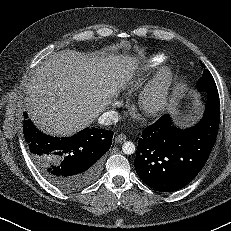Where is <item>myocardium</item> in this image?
Returning a JSON list of instances; mask_svg holds the SVG:
<instances>
[{"label":"myocardium","mask_w":231,"mask_h":231,"mask_svg":"<svg viewBox=\"0 0 231 231\" xmlns=\"http://www.w3.org/2000/svg\"><path fill=\"white\" fill-rule=\"evenodd\" d=\"M173 81L172 67L162 66L140 95L139 107L144 115L157 117L166 110L172 93Z\"/></svg>","instance_id":"f54148a6"}]
</instances>
